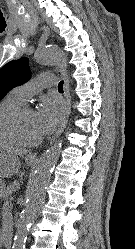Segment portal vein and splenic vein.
<instances>
[{
    "instance_id": "obj_1",
    "label": "portal vein and splenic vein",
    "mask_w": 135,
    "mask_h": 249,
    "mask_svg": "<svg viewBox=\"0 0 135 249\" xmlns=\"http://www.w3.org/2000/svg\"><path fill=\"white\" fill-rule=\"evenodd\" d=\"M9 200L12 202L14 200V197L10 196Z\"/></svg>"
}]
</instances>
